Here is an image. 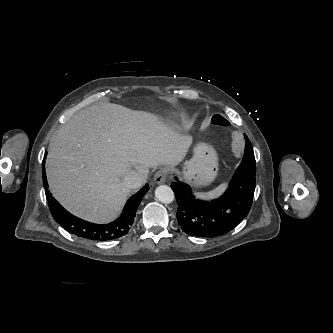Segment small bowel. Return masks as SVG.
<instances>
[{
	"label": "small bowel",
	"instance_id": "1",
	"mask_svg": "<svg viewBox=\"0 0 333 333\" xmlns=\"http://www.w3.org/2000/svg\"><path fill=\"white\" fill-rule=\"evenodd\" d=\"M232 152L234 155L239 156L243 152V142L239 134H234L231 139Z\"/></svg>",
	"mask_w": 333,
	"mask_h": 333
}]
</instances>
